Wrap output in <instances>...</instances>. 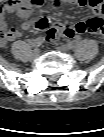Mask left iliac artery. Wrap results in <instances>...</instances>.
<instances>
[{"mask_svg":"<svg viewBox=\"0 0 104 137\" xmlns=\"http://www.w3.org/2000/svg\"><path fill=\"white\" fill-rule=\"evenodd\" d=\"M77 44H78V41H77V40H74V41H72V42L70 43V46H71V48H72V47L77 46Z\"/></svg>","mask_w":104,"mask_h":137,"instance_id":"44dca946","label":"left iliac artery"}]
</instances>
